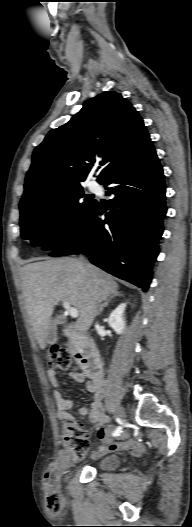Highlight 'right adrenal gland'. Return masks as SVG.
<instances>
[{"instance_id":"right-adrenal-gland-1","label":"right adrenal gland","mask_w":192,"mask_h":527,"mask_svg":"<svg viewBox=\"0 0 192 527\" xmlns=\"http://www.w3.org/2000/svg\"><path fill=\"white\" fill-rule=\"evenodd\" d=\"M119 296H122V294L119 293V292H116L113 295H111L108 299H106L102 304H100L98 306L97 315H100L103 312L104 308L107 307L109 305V303L113 299H115V297H119Z\"/></svg>"}]
</instances>
